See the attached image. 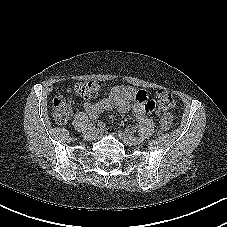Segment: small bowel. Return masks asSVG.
Wrapping results in <instances>:
<instances>
[{"label":"small bowel","instance_id":"c3829d8e","mask_svg":"<svg viewBox=\"0 0 227 227\" xmlns=\"http://www.w3.org/2000/svg\"><path fill=\"white\" fill-rule=\"evenodd\" d=\"M84 108L92 118H96L98 114L113 108L123 113L133 110L140 119L156 112L154 102L148 99L145 92L125 86L113 87L108 97L93 103H85ZM129 130L133 131L134 128L131 127Z\"/></svg>","mask_w":227,"mask_h":227}]
</instances>
